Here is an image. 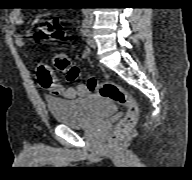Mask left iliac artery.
Returning a JSON list of instances; mask_svg holds the SVG:
<instances>
[{"label":"left iliac artery","mask_w":192,"mask_h":180,"mask_svg":"<svg viewBox=\"0 0 192 180\" xmlns=\"http://www.w3.org/2000/svg\"><path fill=\"white\" fill-rule=\"evenodd\" d=\"M92 24V16L89 14H85L84 21L82 23V33L86 35L89 32Z\"/></svg>","instance_id":"left-iliac-artery-1"}]
</instances>
